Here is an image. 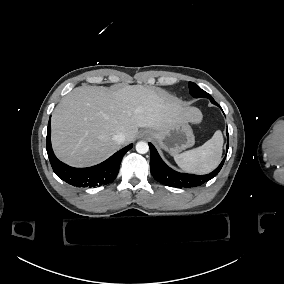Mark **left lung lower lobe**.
I'll return each instance as SVG.
<instances>
[{
    "mask_svg": "<svg viewBox=\"0 0 284 284\" xmlns=\"http://www.w3.org/2000/svg\"><path fill=\"white\" fill-rule=\"evenodd\" d=\"M213 104L219 106L215 101H212ZM220 107V106H219ZM150 147V170L151 174L155 178V180L171 187H195L204 184L206 181L215 177L218 172L221 170L225 158L222 160L221 164L210 174L207 175H194V174H184L179 173L168 167L161 157L159 156L158 152L156 151L155 147L149 143ZM228 150V144H227Z\"/></svg>",
    "mask_w": 284,
    "mask_h": 284,
    "instance_id": "0a47b994",
    "label": "left lung lower lobe"
}]
</instances>
